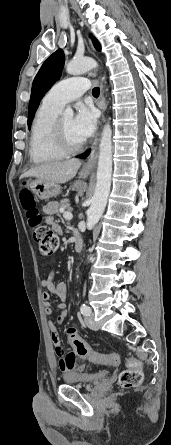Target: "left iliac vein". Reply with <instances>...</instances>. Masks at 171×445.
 <instances>
[{"label":"left iliac vein","mask_w":171,"mask_h":445,"mask_svg":"<svg viewBox=\"0 0 171 445\" xmlns=\"http://www.w3.org/2000/svg\"><path fill=\"white\" fill-rule=\"evenodd\" d=\"M85 324L92 330H98V325L94 321L91 309H90V314L85 317Z\"/></svg>","instance_id":"left-iliac-vein-1"}]
</instances>
